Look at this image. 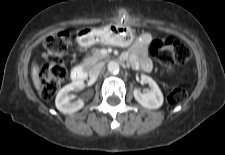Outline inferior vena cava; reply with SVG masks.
<instances>
[{
	"mask_svg": "<svg viewBox=\"0 0 225 155\" xmlns=\"http://www.w3.org/2000/svg\"><path fill=\"white\" fill-rule=\"evenodd\" d=\"M103 67H104L103 63H99L91 67L89 70V77L91 79H96L100 74V72L103 70Z\"/></svg>",
	"mask_w": 225,
	"mask_h": 155,
	"instance_id": "602c4592",
	"label": "inferior vena cava"
}]
</instances>
